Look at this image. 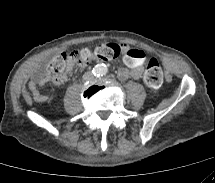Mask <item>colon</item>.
I'll list each match as a JSON object with an SVG mask.
<instances>
[{"label":"colon","mask_w":215,"mask_h":183,"mask_svg":"<svg viewBox=\"0 0 215 183\" xmlns=\"http://www.w3.org/2000/svg\"><path fill=\"white\" fill-rule=\"evenodd\" d=\"M122 47L113 43H101L91 51L89 49H81L71 54L60 52L50 61L48 71L56 77H63L68 71V67L72 61L78 65H86L93 60L109 62L116 59L122 53ZM144 80L151 88H158L163 81V73L160 63L156 57L150 56L146 60V69Z\"/></svg>","instance_id":"5ec220e1"}]
</instances>
